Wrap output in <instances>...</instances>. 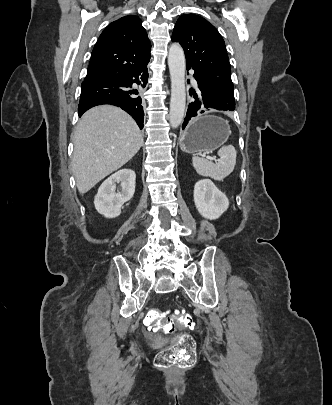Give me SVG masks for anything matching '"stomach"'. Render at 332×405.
Listing matches in <instances>:
<instances>
[{
    "mask_svg": "<svg viewBox=\"0 0 332 405\" xmlns=\"http://www.w3.org/2000/svg\"><path fill=\"white\" fill-rule=\"evenodd\" d=\"M230 133L227 121L204 114L190 122L180 137V147L187 153L212 152L227 142Z\"/></svg>",
    "mask_w": 332,
    "mask_h": 405,
    "instance_id": "0dacf381",
    "label": "stomach"
}]
</instances>
